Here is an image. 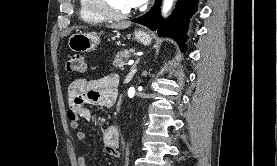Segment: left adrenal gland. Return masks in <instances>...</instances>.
Here are the masks:
<instances>
[{
  "label": "left adrenal gland",
  "mask_w": 277,
  "mask_h": 166,
  "mask_svg": "<svg viewBox=\"0 0 277 166\" xmlns=\"http://www.w3.org/2000/svg\"><path fill=\"white\" fill-rule=\"evenodd\" d=\"M140 59H137V61L132 65L128 75L126 76L125 82L128 83L132 80L134 74L137 72V64L139 63Z\"/></svg>",
  "instance_id": "obj_1"
}]
</instances>
